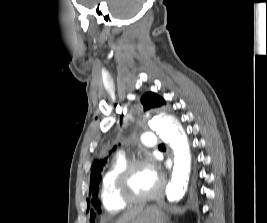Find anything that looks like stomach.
I'll return each mask as SVG.
<instances>
[{
  "label": "stomach",
  "instance_id": "1",
  "mask_svg": "<svg viewBox=\"0 0 267 223\" xmlns=\"http://www.w3.org/2000/svg\"><path fill=\"white\" fill-rule=\"evenodd\" d=\"M167 217L160 205L153 204L143 210L127 223H166Z\"/></svg>",
  "mask_w": 267,
  "mask_h": 223
}]
</instances>
